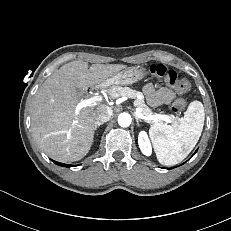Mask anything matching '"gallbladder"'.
<instances>
[{
	"mask_svg": "<svg viewBox=\"0 0 231 231\" xmlns=\"http://www.w3.org/2000/svg\"><path fill=\"white\" fill-rule=\"evenodd\" d=\"M77 91H78L79 93H82V92H83V89L77 88Z\"/></svg>",
	"mask_w": 231,
	"mask_h": 231,
	"instance_id": "gallbladder-1",
	"label": "gallbladder"
}]
</instances>
